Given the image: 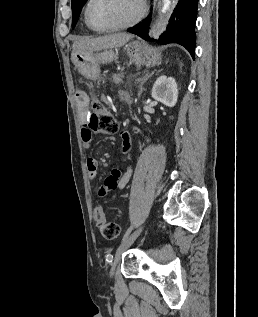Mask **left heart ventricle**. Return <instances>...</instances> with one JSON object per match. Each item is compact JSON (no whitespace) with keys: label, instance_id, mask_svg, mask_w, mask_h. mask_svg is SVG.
<instances>
[{"label":"left heart ventricle","instance_id":"1","mask_svg":"<svg viewBox=\"0 0 258 317\" xmlns=\"http://www.w3.org/2000/svg\"><path fill=\"white\" fill-rule=\"evenodd\" d=\"M134 0H96L90 7V20L99 28L126 25L138 14Z\"/></svg>","mask_w":258,"mask_h":317}]
</instances>
